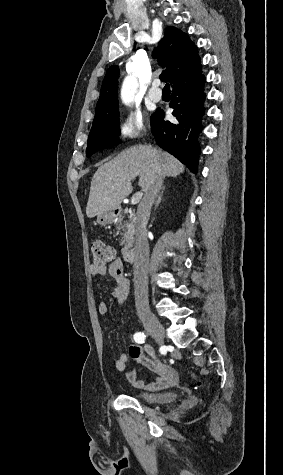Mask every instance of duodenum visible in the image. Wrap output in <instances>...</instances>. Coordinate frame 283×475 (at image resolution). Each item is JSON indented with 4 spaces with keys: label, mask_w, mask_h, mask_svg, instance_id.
I'll use <instances>...</instances> for the list:
<instances>
[{
    "label": "duodenum",
    "mask_w": 283,
    "mask_h": 475,
    "mask_svg": "<svg viewBox=\"0 0 283 475\" xmlns=\"http://www.w3.org/2000/svg\"><path fill=\"white\" fill-rule=\"evenodd\" d=\"M134 257H135V251H134L133 248H128V249H125V250H124V252H123V260H124L125 262H128V263L133 262Z\"/></svg>",
    "instance_id": "obj_1"
}]
</instances>
